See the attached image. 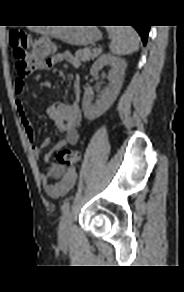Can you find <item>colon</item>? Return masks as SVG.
I'll return each mask as SVG.
<instances>
[{
	"mask_svg": "<svg viewBox=\"0 0 184 292\" xmlns=\"http://www.w3.org/2000/svg\"><path fill=\"white\" fill-rule=\"evenodd\" d=\"M10 47L14 58V70L17 75H24L29 72L31 61L27 53V46L29 44V36L18 30H13L10 33ZM54 51L52 42L47 38L38 39L33 46L32 62L43 61ZM53 159L57 164L63 166L75 165L79 159L80 154L77 151L70 149H61L55 151Z\"/></svg>",
	"mask_w": 184,
	"mask_h": 292,
	"instance_id": "colon-1",
	"label": "colon"
}]
</instances>
